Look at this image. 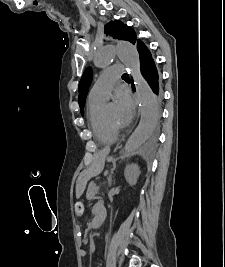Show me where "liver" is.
Here are the masks:
<instances>
[{"instance_id":"6515ba94","label":"liver","mask_w":225,"mask_h":267,"mask_svg":"<svg viewBox=\"0 0 225 267\" xmlns=\"http://www.w3.org/2000/svg\"><path fill=\"white\" fill-rule=\"evenodd\" d=\"M108 151H101L94 156L93 163L88 171L90 176H96L100 174L104 168L105 157ZM82 191L77 193V197L81 195Z\"/></svg>"}]
</instances>
